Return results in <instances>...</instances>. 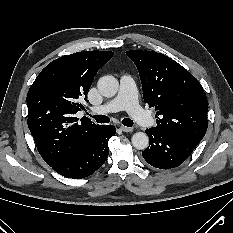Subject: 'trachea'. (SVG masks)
<instances>
[{
    "label": "trachea",
    "instance_id": "trachea-1",
    "mask_svg": "<svg viewBox=\"0 0 233 233\" xmlns=\"http://www.w3.org/2000/svg\"><path fill=\"white\" fill-rule=\"evenodd\" d=\"M89 116L94 118L97 123H109L110 122V118L106 115H97V116L89 115ZM122 124L127 127H132L134 125L133 121L129 118H124L122 120Z\"/></svg>",
    "mask_w": 233,
    "mask_h": 233
}]
</instances>
